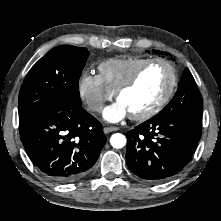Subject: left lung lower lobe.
I'll return each mask as SVG.
<instances>
[{
    "label": "left lung lower lobe",
    "instance_id": "0a47b994",
    "mask_svg": "<svg viewBox=\"0 0 221 221\" xmlns=\"http://www.w3.org/2000/svg\"><path fill=\"white\" fill-rule=\"evenodd\" d=\"M202 125L171 111H160L127 133L126 163L139 178L159 183L191 160Z\"/></svg>",
    "mask_w": 221,
    "mask_h": 221
}]
</instances>
